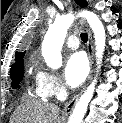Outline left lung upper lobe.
<instances>
[{"instance_id":"obj_1","label":"left lung upper lobe","mask_w":122,"mask_h":123,"mask_svg":"<svg viewBox=\"0 0 122 123\" xmlns=\"http://www.w3.org/2000/svg\"><path fill=\"white\" fill-rule=\"evenodd\" d=\"M75 2L81 6V7H86L87 6V2L86 0H75Z\"/></svg>"}]
</instances>
